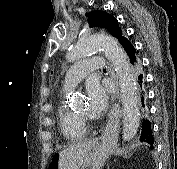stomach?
<instances>
[{
    "instance_id": "0dacf381",
    "label": "stomach",
    "mask_w": 177,
    "mask_h": 169,
    "mask_svg": "<svg viewBox=\"0 0 177 169\" xmlns=\"http://www.w3.org/2000/svg\"><path fill=\"white\" fill-rule=\"evenodd\" d=\"M112 150V144L108 142L98 143L92 148L80 169H102ZM58 158L57 155L53 157L49 169H58Z\"/></svg>"
}]
</instances>
